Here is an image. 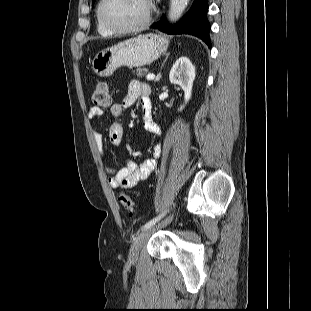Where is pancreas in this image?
<instances>
[{
    "label": "pancreas",
    "mask_w": 311,
    "mask_h": 311,
    "mask_svg": "<svg viewBox=\"0 0 311 311\" xmlns=\"http://www.w3.org/2000/svg\"><path fill=\"white\" fill-rule=\"evenodd\" d=\"M147 72H148V69H146V68H137L136 69V75L138 77L144 76Z\"/></svg>",
    "instance_id": "obj_1"
}]
</instances>
